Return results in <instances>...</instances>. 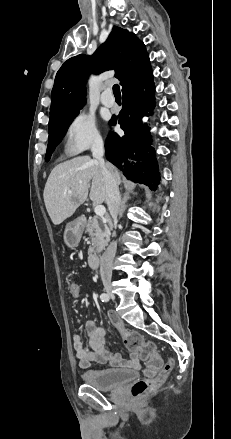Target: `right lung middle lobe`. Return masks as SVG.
<instances>
[{"mask_svg":"<svg viewBox=\"0 0 231 439\" xmlns=\"http://www.w3.org/2000/svg\"><path fill=\"white\" fill-rule=\"evenodd\" d=\"M77 115L70 117V118H67V119L57 123L56 125L49 127V138H48L49 142H48L47 152H46V156H45L46 161H49V159L51 158V154L54 151L55 147L62 140V138L65 136L70 123L73 121V119Z\"/></svg>","mask_w":231,"mask_h":439,"instance_id":"right-lung-middle-lobe-1","label":"right lung middle lobe"}]
</instances>
